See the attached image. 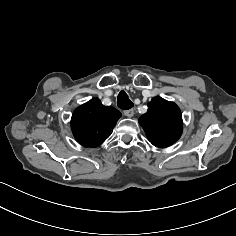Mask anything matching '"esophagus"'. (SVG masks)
<instances>
[{
  "label": "esophagus",
  "mask_w": 236,
  "mask_h": 236,
  "mask_svg": "<svg viewBox=\"0 0 236 236\" xmlns=\"http://www.w3.org/2000/svg\"><path fill=\"white\" fill-rule=\"evenodd\" d=\"M123 113L127 117H132L134 115V110L133 109L125 110Z\"/></svg>",
  "instance_id": "1"
}]
</instances>
